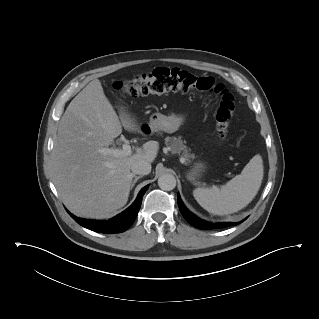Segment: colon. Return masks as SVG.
<instances>
[{
    "mask_svg": "<svg viewBox=\"0 0 319 319\" xmlns=\"http://www.w3.org/2000/svg\"><path fill=\"white\" fill-rule=\"evenodd\" d=\"M114 87L122 94L131 97L167 92H214L221 99L216 111V129L221 138L227 136L230 121L235 112L232 94L222 85L216 84L212 77H199L178 68H156L132 80L117 82Z\"/></svg>",
    "mask_w": 319,
    "mask_h": 319,
    "instance_id": "5ec220e1",
    "label": "colon"
}]
</instances>
